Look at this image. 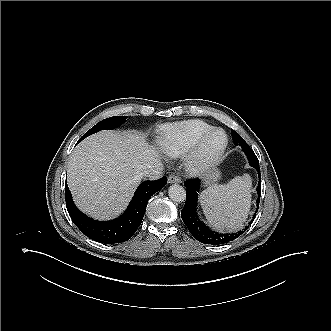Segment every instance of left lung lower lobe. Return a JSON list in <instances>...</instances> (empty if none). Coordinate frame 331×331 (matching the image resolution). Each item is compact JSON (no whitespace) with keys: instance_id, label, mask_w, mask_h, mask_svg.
I'll use <instances>...</instances> for the list:
<instances>
[{"instance_id":"obj_1","label":"left lung lower lobe","mask_w":331,"mask_h":331,"mask_svg":"<svg viewBox=\"0 0 331 331\" xmlns=\"http://www.w3.org/2000/svg\"><path fill=\"white\" fill-rule=\"evenodd\" d=\"M232 139L235 145H240L243 150L246 147V142L243 138H239L232 135ZM250 166L254 167L259 174V183L257 187V192L259 195L261 194V176H260V168L259 164H255L249 161ZM184 185L187 187V197L185 206L181 212V217L193 237L204 244H212V245H220L227 242H230L236 238H238L244 231H246L247 226L242 231H238L237 233L232 234H221L212 232L205 224H203L196 213L197 209V201H198V192L200 188V180L198 179H189ZM260 198H258L257 202H259ZM255 216V215H254Z\"/></svg>"}]
</instances>
